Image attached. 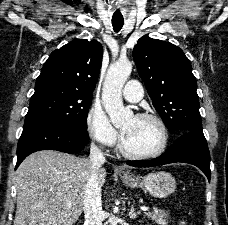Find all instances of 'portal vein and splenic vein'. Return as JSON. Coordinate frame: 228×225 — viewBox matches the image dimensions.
Wrapping results in <instances>:
<instances>
[{
  "label": "portal vein and splenic vein",
  "mask_w": 228,
  "mask_h": 225,
  "mask_svg": "<svg viewBox=\"0 0 228 225\" xmlns=\"http://www.w3.org/2000/svg\"><path fill=\"white\" fill-rule=\"evenodd\" d=\"M181 205V204H178ZM142 211H149L148 207H141Z\"/></svg>",
  "instance_id": "obj_1"
}]
</instances>
